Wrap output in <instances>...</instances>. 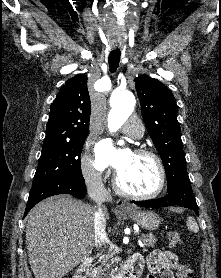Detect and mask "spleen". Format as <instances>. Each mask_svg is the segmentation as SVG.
I'll use <instances>...</instances> for the list:
<instances>
[{
    "label": "spleen",
    "instance_id": "1",
    "mask_svg": "<svg viewBox=\"0 0 221 278\" xmlns=\"http://www.w3.org/2000/svg\"><path fill=\"white\" fill-rule=\"evenodd\" d=\"M187 227L190 231L197 233L199 231V227L195 219L192 217H188L187 219Z\"/></svg>",
    "mask_w": 221,
    "mask_h": 278
}]
</instances>
